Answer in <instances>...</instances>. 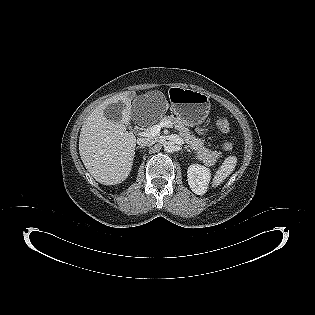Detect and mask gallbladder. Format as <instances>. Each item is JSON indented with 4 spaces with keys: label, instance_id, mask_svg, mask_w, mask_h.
<instances>
[{
    "label": "gallbladder",
    "instance_id": "obj_1",
    "mask_svg": "<svg viewBox=\"0 0 315 315\" xmlns=\"http://www.w3.org/2000/svg\"><path fill=\"white\" fill-rule=\"evenodd\" d=\"M124 109V105L122 102L109 104L104 109V116L111 121L120 122L122 119V111Z\"/></svg>",
    "mask_w": 315,
    "mask_h": 315
}]
</instances>
